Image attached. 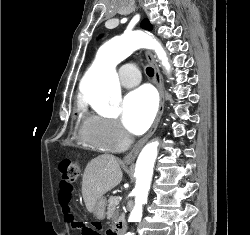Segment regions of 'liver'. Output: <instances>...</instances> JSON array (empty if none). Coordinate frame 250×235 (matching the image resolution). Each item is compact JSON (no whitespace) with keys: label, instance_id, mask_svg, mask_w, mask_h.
Returning <instances> with one entry per match:
<instances>
[{"label":"liver","instance_id":"obj_1","mask_svg":"<svg viewBox=\"0 0 250 235\" xmlns=\"http://www.w3.org/2000/svg\"><path fill=\"white\" fill-rule=\"evenodd\" d=\"M122 177L116 157L104 154L91 160L82 179V195L87 210L93 212L96 201L120 184Z\"/></svg>","mask_w":250,"mask_h":235}]
</instances>
